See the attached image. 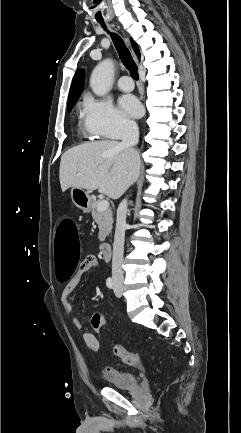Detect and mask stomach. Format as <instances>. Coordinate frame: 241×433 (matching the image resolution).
<instances>
[{"label":"stomach","instance_id":"0dacf381","mask_svg":"<svg viewBox=\"0 0 241 433\" xmlns=\"http://www.w3.org/2000/svg\"><path fill=\"white\" fill-rule=\"evenodd\" d=\"M71 198L74 205L83 212L88 213L91 210L93 200L88 191L84 189L72 188Z\"/></svg>","mask_w":241,"mask_h":433}]
</instances>
